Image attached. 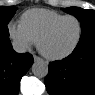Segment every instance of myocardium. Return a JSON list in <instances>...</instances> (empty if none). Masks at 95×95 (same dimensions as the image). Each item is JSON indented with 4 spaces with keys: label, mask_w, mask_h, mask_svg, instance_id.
Masks as SVG:
<instances>
[{
    "label": "myocardium",
    "mask_w": 95,
    "mask_h": 95,
    "mask_svg": "<svg viewBox=\"0 0 95 95\" xmlns=\"http://www.w3.org/2000/svg\"><path fill=\"white\" fill-rule=\"evenodd\" d=\"M67 19H75L78 22L79 25V34L77 37L76 42L74 43V45L67 50L64 53L61 54H57V55H52V54H48L44 51L43 47H42V43L43 41L53 32V30L64 20ZM83 23L81 21V19L75 15H64L63 17H61L60 19L56 20L55 22H53L50 26H48L43 32L42 34L39 36L38 40H37V48L39 50V52L47 59L50 60H62L68 56H70L79 46L82 37H83Z\"/></svg>",
    "instance_id": "f54148a6"
}]
</instances>
